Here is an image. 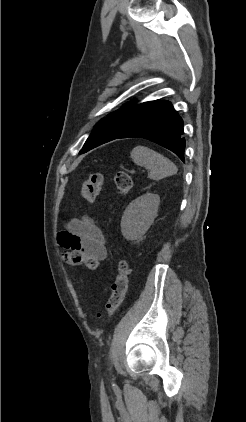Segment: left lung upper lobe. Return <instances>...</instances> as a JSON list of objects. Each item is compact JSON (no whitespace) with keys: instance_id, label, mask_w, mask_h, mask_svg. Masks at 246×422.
Segmentation results:
<instances>
[{"instance_id":"obj_1","label":"left lung upper lobe","mask_w":246,"mask_h":422,"mask_svg":"<svg viewBox=\"0 0 246 422\" xmlns=\"http://www.w3.org/2000/svg\"><path fill=\"white\" fill-rule=\"evenodd\" d=\"M160 100L148 101L136 105L128 103L101 119L95 126L86 140L81 154L111 140L116 139L136 121L149 112Z\"/></svg>"}]
</instances>
